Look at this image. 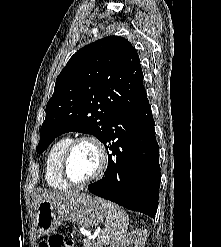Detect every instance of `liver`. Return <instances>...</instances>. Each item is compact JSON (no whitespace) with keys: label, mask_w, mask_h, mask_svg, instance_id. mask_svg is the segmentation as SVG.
I'll use <instances>...</instances> for the list:
<instances>
[{"label":"liver","mask_w":221,"mask_h":247,"mask_svg":"<svg viewBox=\"0 0 221 247\" xmlns=\"http://www.w3.org/2000/svg\"><path fill=\"white\" fill-rule=\"evenodd\" d=\"M77 194V192L68 191V192H45L37 196L36 204L38 205L42 201H53L59 202L65 199H68Z\"/></svg>","instance_id":"obj_1"}]
</instances>
